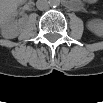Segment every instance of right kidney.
<instances>
[{
    "label": "right kidney",
    "instance_id": "obj_1",
    "mask_svg": "<svg viewBox=\"0 0 103 103\" xmlns=\"http://www.w3.org/2000/svg\"><path fill=\"white\" fill-rule=\"evenodd\" d=\"M18 2L5 1L0 10V32L4 38L13 39L18 36L22 19L14 20L17 15Z\"/></svg>",
    "mask_w": 103,
    "mask_h": 103
}]
</instances>
